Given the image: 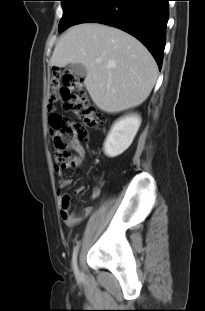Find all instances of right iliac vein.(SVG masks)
<instances>
[{"instance_id":"right-iliac-vein-1","label":"right iliac vein","mask_w":205,"mask_h":311,"mask_svg":"<svg viewBox=\"0 0 205 311\" xmlns=\"http://www.w3.org/2000/svg\"><path fill=\"white\" fill-rule=\"evenodd\" d=\"M80 275V271L77 269V276H79Z\"/></svg>"}]
</instances>
